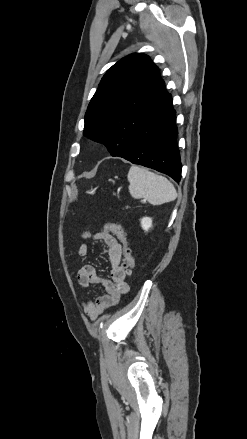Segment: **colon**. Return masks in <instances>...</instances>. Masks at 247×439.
Here are the masks:
<instances>
[{
	"mask_svg": "<svg viewBox=\"0 0 247 439\" xmlns=\"http://www.w3.org/2000/svg\"><path fill=\"white\" fill-rule=\"evenodd\" d=\"M104 228H107L108 230L113 232L122 243L124 256L123 266L127 272V275L131 274L135 266V260L132 249L128 243V238L125 230L120 225L111 222L105 223Z\"/></svg>",
	"mask_w": 247,
	"mask_h": 439,
	"instance_id": "1",
	"label": "colon"
}]
</instances>
